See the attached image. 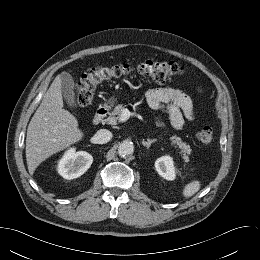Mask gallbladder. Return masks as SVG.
<instances>
[{
    "label": "gallbladder",
    "mask_w": 260,
    "mask_h": 260,
    "mask_svg": "<svg viewBox=\"0 0 260 260\" xmlns=\"http://www.w3.org/2000/svg\"><path fill=\"white\" fill-rule=\"evenodd\" d=\"M61 85H62L63 97L67 105L71 108H76L77 100L74 92L75 84H74L73 77L67 72H62Z\"/></svg>",
    "instance_id": "obj_1"
}]
</instances>
